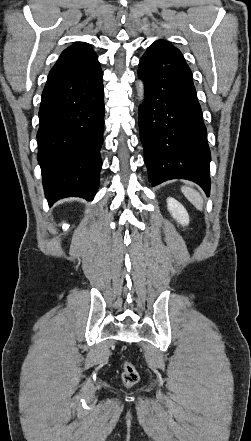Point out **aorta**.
<instances>
[{
	"label": "aorta",
	"mask_w": 251,
	"mask_h": 441,
	"mask_svg": "<svg viewBox=\"0 0 251 441\" xmlns=\"http://www.w3.org/2000/svg\"><path fill=\"white\" fill-rule=\"evenodd\" d=\"M145 88H144V83L142 81H138L137 82V93H138V98L140 100H144L145 99Z\"/></svg>",
	"instance_id": "762f6f07"
}]
</instances>
